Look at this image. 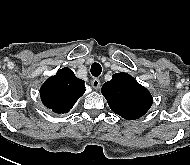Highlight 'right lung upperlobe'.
Listing matches in <instances>:
<instances>
[{"label":"right lung upper lobe","mask_w":190,"mask_h":165,"mask_svg":"<svg viewBox=\"0 0 190 165\" xmlns=\"http://www.w3.org/2000/svg\"><path fill=\"white\" fill-rule=\"evenodd\" d=\"M85 92L84 81L69 68L48 78L40 89L42 103L55 113H67Z\"/></svg>","instance_id":"right-lung-upper-lobe-1"}]
</instances>
